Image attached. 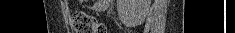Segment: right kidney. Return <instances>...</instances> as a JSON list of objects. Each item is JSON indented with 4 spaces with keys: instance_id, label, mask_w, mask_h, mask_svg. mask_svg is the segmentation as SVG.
<instances>
[{
    "instance_id": "obj_1",
    "label": "right kidney",
    "mask_w": 235,
    "mask_h": 33,
    "mask_svg": "<svg viewBox=\"0 0 235 33\" xmlns=\"http://www.w3.org/2000/svg\"><path fill=\"white\" fill-rule=\"evenodd\" d=\"M150 0H119L121 18L127 21L142 20L147 14Z\"/></svg>"
}]
</instances>
